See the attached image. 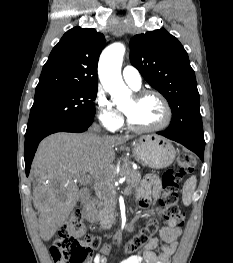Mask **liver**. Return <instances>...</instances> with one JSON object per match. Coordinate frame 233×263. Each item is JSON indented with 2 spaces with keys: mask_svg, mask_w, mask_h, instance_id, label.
Masks as SVG:
<instances>
[{
  "mask_svg": "<svg viewBox=\"0 0 233 263\" xmlns=\"http://www.w3.org/2000/svg\"><path fill=\"white\" fill-rule=\"evenodd\" d=\"M131 138L60 132L41 141L31 173L37 180L34 206L42 240L49 241L76 206L80 196L76 180L87 174L96 182L110 178L114 147Z\"/></svg>",
  "mask_w": 233,
  "mask_h": 263,
  "instance_id": "6515ba94",
  "label": "liver"
}]
</instances>
